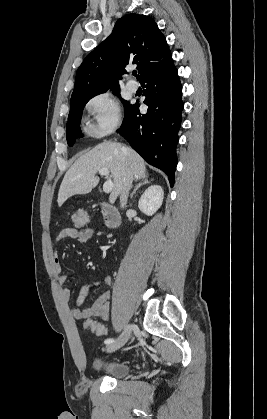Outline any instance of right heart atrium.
Returning <instances> with one entry per match:
<instances>
[{
    "instance_id": "1",
    "label": "right heart atrium",
    "mask_w": 267,
    "mask_h": 419,
    "mask_svg": "<svg viewBox=\"0 0 267 419\" xmlns=\"http://www.w3.org/2000/svg\"><path fill=\"white\" fill-rule=\"evenodd\" d=\"M86 108L92 116L87 132L93 137H104L112 133L122 122L119 102L108 92L93 96L87 102Z\"/></svg>"
}]
</instances>
